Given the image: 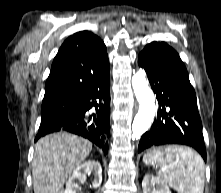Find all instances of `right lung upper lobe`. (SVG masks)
Wrapping results in <instances>:
<instances>
[{"label":"right lung upper lobe","mask_w":221,"mask_h":193,"mask_svg":"<svg viewBox=\"0 0 221 193\" xmlns=\"http://www.w3.org/2000/svg\"><path fill=\"white\" fill-rule=\"evenodd\" d=\"M108 62L106 46L98 36L89 31L70 36L53 61L43 102L75 99Z\"/></svg>","instance_id":"1"}]
</instances>
